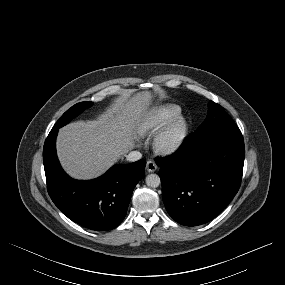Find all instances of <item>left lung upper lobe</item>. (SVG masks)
<instances>
[{
  "mask_svg": "<svg viewBox=\"0 0 285 285\" xmlns=\"http://www.w3.org/2000/svg\"><path fill=\"white\" fill-rule=\"evenodd\" d=\"M240 135H242L241 131L233 119L219 104L210 101L205 121L194 133L189 135V138L192 140H209Z\"/></svg>",
  "mask_w": 285,
  "mask_h": 285,
  "instance_id": "1",
  "label": "left lung upper lobe"
}]
</instances>
